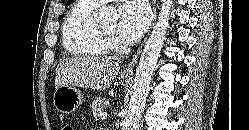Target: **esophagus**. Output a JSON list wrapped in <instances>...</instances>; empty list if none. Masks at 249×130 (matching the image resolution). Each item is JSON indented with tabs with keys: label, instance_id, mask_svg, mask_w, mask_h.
I'll return each mask as SVG.
<instances>
[{
	"label": "esophagus",
	"instance_id": "34e87169",
	"mask_svg": "<svg viewBox=\"0 0 249 130\" xmlns=\"http://www.w3.org/2000/svg\"><path fill=\"white\" fill-rule=\"evenodd\" d=\"M151 5H152V9H153V22H152V25H151V28L153 27L154 25V22L156 20V16H157V8H156V0H151ZM150 32V31H149ZM149 35V34H148ZM147 39V38H146ZM146 39L145 41L139 46V48L137 49V51L134 53L133 57L131 58V60L129 61L128 65L123 69V71L121 72V74L123 76H126V77H129V76H132L133 75V72H134V69H135V66L137 64V61H138V58H139V55L142 51V48L146 42Z\"/></svg>",
	"mask_w": 249,
	"mask_h": 130
}]
</instances>
